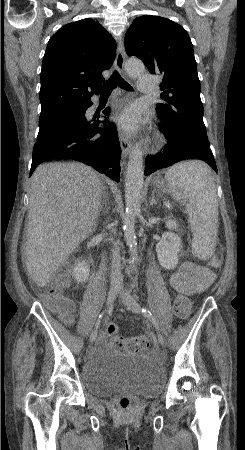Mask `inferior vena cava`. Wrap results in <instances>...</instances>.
Instances as JSON below:
<instances>
[{
  "instance_id": "inferior-vena-cava-1",
  "label": "inferior vena cava",
  "mask_w": 245,
  "mask_h": 450,
  "mask_svg": "<svg viewBox=\"0 0 245 450\" xmlns=\"http://www.w3.org/2000/svg\"><path fill=\"white\" fill-rule=\"evenodd\" d=\"M121 257L117 245L112 250V264H111V283L116 285L123 284V276L121 274Z\"/></svg>"
}]
</instances>
